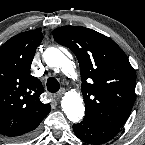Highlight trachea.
I'll return each mask as SVG.
<instances>
[{"label":"trachea","instance_id":"3493384b","mask_svg":"<svg viewBox=\"0 0 145 145\" xmlns=\"http://www.w3.org/2000/svg\"><path fill=\"white\" fill-rule=\"evenodd\" d=\"M60 84L54 77H49L47 79V90L51 93H55L59 90Z\"/></svg>","mask_w":145,"mask_h":145}]
</instances>
